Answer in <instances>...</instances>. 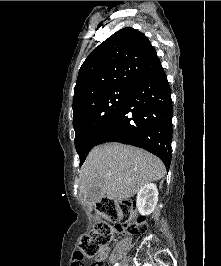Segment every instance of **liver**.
<instances>
[{
	"mask_svg": "<svg viewBox=\"0 0 221 266\" xmlns=\"http://www.w3.org/2000/svg\"><path fill=\"white\" fill-rule=\"evenodd\" d=\"M165 171L162 161L143 149L103 144L91 150L82 166L80 193L100 186L109 199H128L146 183L162 179Z\"/></svg>",
	"mask_w": 221,
	"mask_h": 266,
	"instance_id": "liver-1",
	"label": "liver"
}]
</instances>
